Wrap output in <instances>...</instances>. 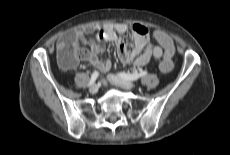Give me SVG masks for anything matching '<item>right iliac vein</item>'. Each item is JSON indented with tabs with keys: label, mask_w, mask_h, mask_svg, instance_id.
Segmentation results:
<instances>
[{
	"label": "right iliac vein",
	"mask_w": 230,
	"mask_h": 155,
	"mask_svg": "<svg viewBox=\"0 0 230 155\" xmlns=\"http://www.w3.org/2000/svg\"><path fill=\"white\" fill-rule=\"evenodd\" d=\"M97 91H98V86L96 84H93L92 86H90L89 88L90 93L95 94L97 93Z\"/></svg>",
	"instance_id": "obj_1"
}]
</instances>
